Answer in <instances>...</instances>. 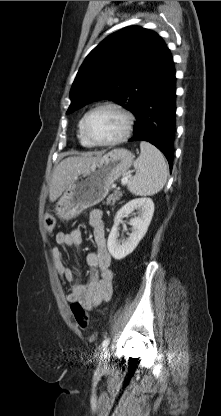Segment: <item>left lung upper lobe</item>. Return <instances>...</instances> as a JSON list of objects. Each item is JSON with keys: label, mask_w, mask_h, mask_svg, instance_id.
Here are the masks:
<instances>
[{"label": "left lung upper lobe", "mask_w": 221, "mask_h": 416, "mask_svg": "<svg viewBox=\"0 0 221 416\" xmlns=\"http://www.w3.org/2000/svg\"><path fill=\"white\" fill-rule=\"evenodd\" d=\"M166 44L155 32L126 27L103 40L86 57L71 88L67 114L109 99L136 114L156 77Z\"/></svg>", "instance_id": "1"}]
</instances>
